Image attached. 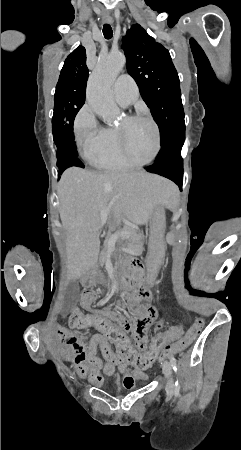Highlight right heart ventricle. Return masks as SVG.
I'll return each mask as SVG.
<instances>
[{
	"label": "right heart ventricle",
	"instance_id": "e07e8e85",
	"mask_svg": "<svg viewBox=\"0 0 241 450\" xmlns=\"http://www.w3.org/2000/svg\"><path fill=\"white\" fill-rule=\"evenodd\" d=\"M90 116H92L90 114ZM120 124L121 121H120ZM100 130L101 145L97 155H84L85 159L96 168H122L129 167L126 157H122V150L117 143L116 128H105L95 125Z\"/></svg>",
	"mask_w": 241,
	"mask_h": 450
}]
</instances>
